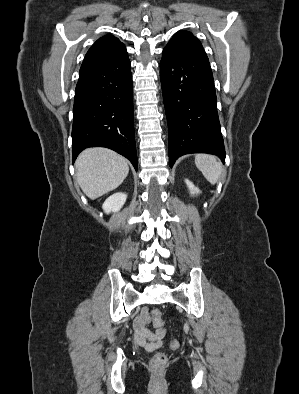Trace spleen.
Instances as JSON below:
<instances>
[{"instance_id":"spleen-1","label":"spleen","mask_w":299,"mask_h":394,"mask_svg":"<svg viewBox=\"0 0 299 394\" xmlns=\"http://www.w3.org/2000/svg\"><path fill=\"white\" fill-rule=\"evenodd\" d=\"M195 164L207 181L213 185L218 182V179L222 174L223 167L213 155L197 154L195 156Z\"/></svg>"}]
</instances>
